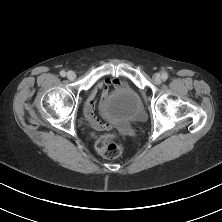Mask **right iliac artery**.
Wrapping results in <instances>:
<instances>
[{
    "label": "right iliac artery",
    "instance_id": "obj_1",
    "mask_svg": "<svg viewBox=\"0 0 222 222\" xmlns=\"http://www.w3.org/2000/svg\"><path fill=\"white\" fill-rule=\"evenodd\" d=\"M60 75H61L62 77H65L66 72L62 70V71L60 72Z\"/></svg>",
    "mask_w": 222,
    "mask_h": 222
}]
</instances>
